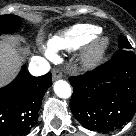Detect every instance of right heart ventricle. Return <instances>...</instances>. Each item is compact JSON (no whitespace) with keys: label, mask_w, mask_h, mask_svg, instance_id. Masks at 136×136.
Here are the masks:
<instances>
[{"label":"right heart ventricle","mask_w":136,"mask_h":136,"mask_svg":"<svg viewBox=\"0 0 136 136\" xmlns=\"http://www.w3.org/2000/svg\"><path fill=\"white\" fill-rule=\"evenodd\" d=\"M101 33L93 25H75L54 35L48 42L52 50L75 51L93 41Z\"/></svg>","instance_id":"right-heart-ventricle-1"}]
</instances>
